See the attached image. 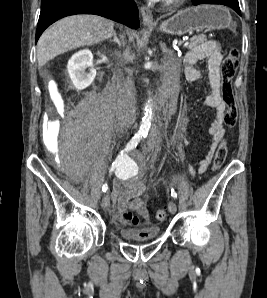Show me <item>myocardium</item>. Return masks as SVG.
Listing matches in <instances>:
<instances>
[{
    "label": "myocardium",
    "mask_w": 267,
    "mask_h": 298,
    "mask_svg": "<svg viewBox=\"0 0 267 298\" xmlns=\"http://www.w3.org/2000/svg\"><path fill=\"white\" fill-rule=\"evenodd\" d=\"M185 0H163V5L165 7H176L178 5H180L181 3H183Z\"/></svg>",
    "instance_id": "myocardium-1"
}]
</instances>
